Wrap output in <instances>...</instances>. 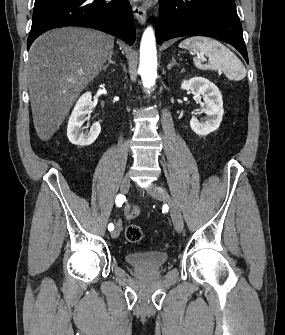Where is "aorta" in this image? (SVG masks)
<instances>
[{
  "label": "aorta",
  "instance_id": "obj_1",
  "mask_svg": "<svg viewBox=\"0 0 285 335\" xmlns=\"http://www.w3.org/2000/svg\"><path fill=\"white\" fill-rule=\"evenodd\" d=\"M144 88H152L157 80V50L152 28L145 30L140 46V66L138 70Z\"/></svg>",
  "mask_w": 285,
  "mask_h": 335
}]
</instances>
